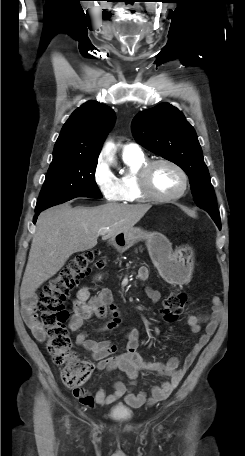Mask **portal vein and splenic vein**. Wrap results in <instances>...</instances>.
<instances>
[{
    "label": "portal vein and splenic vein",
    "mask_w": 245,
    "mask_h": 456,
    "mask_svg": "<svg viewBox=\"0 0 245 456\" xmlns=\"http://www.w3.org/2000/svg\"><path fill=\"white\" fill-rule=\"evenodd\" d=\"M107 230H108V228H106L102 233H105Z\"/></svg>",
    "instance_id": "portal-vein-and-splenic-vein-1"
}]
</instances>
